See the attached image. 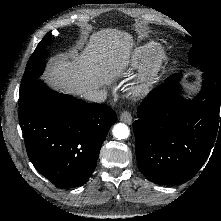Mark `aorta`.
<instances>
[{
    "label": "aorta",
    "mask_w": 221,
    "mask_h": 221,
    "mask_svg": "<svg viewBox=\"0 0 221 221\" xmlns=\"http://www.w3.org/2000/svg\"><path fill=\"white\" fill-rule=\"evenodd\" d=\"M112 133L118 140H123L129 137L130 131L127 125L124 123H118L114 126Z\"/></svg>",
    "instance_id": "obj_1"
}]
</instances>
